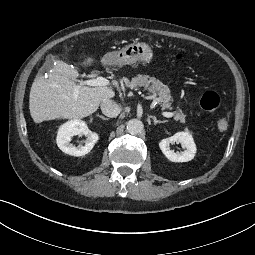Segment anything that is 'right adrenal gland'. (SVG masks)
I'll list each match as a JSON object with an SVG mask.
<instances>
[{
	"label": "right adrenal gland",
	"instance_id": "1",
	"mask_svg": "<svg viewBox=\"0 0 255 255\" xmlns=\"http://www.w3.org/2000/svg\"><path fill=\"white\" fill-rule=\"evenodd\" d=\"M98 117L101 118L102 120H105V121L109 119V118H106V117H104L102 115H98Z\"/></svg>",
	"mask_w": 255,
	"mask_h": 255
}]
</instances>
